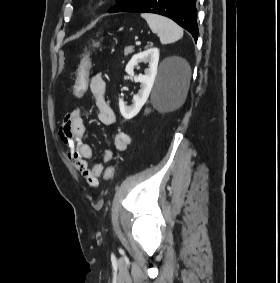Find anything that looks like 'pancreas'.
<instances>
[{"mask_svg": "<svg viewBox=\"0 0 280 283\" xmlns=\"http://www.w3.org/2000/svg\"><path fill=\"white\" fill-rule=\"evenodd\" d=\"M133 52H134V48L132 46L125 47V49H124V55L125 56H128L129 54H131Z\"/></svg>", "mask_w": 280, "mask_h": 283, "instance_id": "cf45deb5", "label": "pancreas"}]
</instances>
